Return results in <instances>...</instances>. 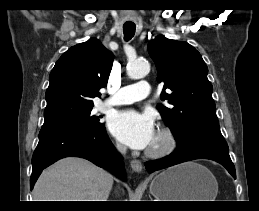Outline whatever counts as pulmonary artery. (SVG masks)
Wrapping results in <instances>:
<instances>
[{"label": "pulmonary artery", "instance_id": "e3ab8cb5", "mask_svg": "<svg viewBox=\"0 0 259 211\" xmlns=\"http://www.w3.org/2000/svg\"><path fill=\"white\" fill-rule=\"evenodd\" d=\"M150 94L148 82L140 81L119 89L111 98L104 102L105 106L132 104L147 98Z\"/></svg>", "mask_w": 259, "mask_h": 211}]
</instances>
